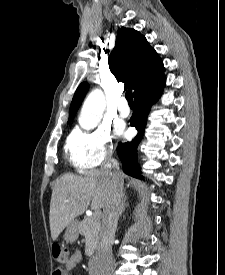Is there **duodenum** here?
I'll use <instances>...</instances> for the list:
<instances>
[{
	"instance_id": "1",
	"label": "duodenum",
	"mask_w": 225,
	"mask_h": 275,
	"mask_svg": "<svg viewBox=\"0 0 225 275\" xmlns=\"http://www.w3.org/2000/svg\"><path fill=\"white\" fill-rule=\"evenodd\" d=\"M98 272V258L91 257L89 259V273L90 275H97Z\"/></svg>"
}]
</instances>
